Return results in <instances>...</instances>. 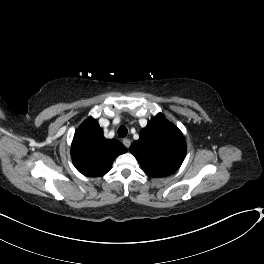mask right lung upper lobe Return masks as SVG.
Here are the masks:
<instances>
[{"mask_svg": "<svg viewBox=\"0 0 264 264\" xmlns=\"http://www.w3.org/2000/svg\"><path fill=\"white\" fill-rule=\"evenodd\" d=\"M127 149L115 139H106L103 130L92 117L77 129L71 146L74 166L86 176H101L107 173L118 155Z\"/></svg>", "mask_w": 264, "mask_h": 264, "instance_id": "right-lung-upper-lobe-1", "label": "right lung upper lobe"}]
</instances>
